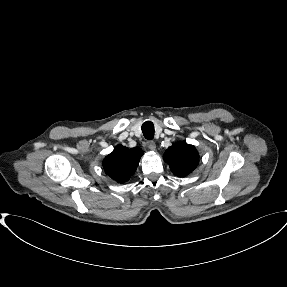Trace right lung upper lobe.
I'll list each match as a JSON object with an SVG mask.
<instances>
[{
	"instance_id": "cb5924a9",
	"label": "right lung upper lobe",
	"mask_w": 287,
	"mask_h": 287,
	"mask_svg": "<svg viewBox=\"0 0 287 287\" xmlns=\"http://www.w3.org/2000/svg\"><path fill=\"white\" fill-rule=\"evenodd\" d=\"M143 152L140 148L128 149L117 145L103 161L105 173L118 183H124L134 174Z\"/></svg>"
}]
</instances>
